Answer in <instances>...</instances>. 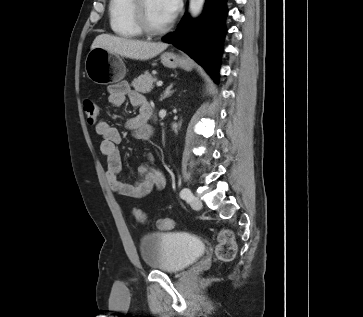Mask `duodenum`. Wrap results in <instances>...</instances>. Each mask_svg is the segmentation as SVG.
I'll use <instances>...</instances> for the list:
<instances>
[{
    "instance_id": "duodenum-1",
    "label": "duodenum",
    "mask_w": 363,
    "mask_h": 317,
    "mask_svg": "<svg viewBox=\"0 0 363 317\" xmlns=\"http://www.w3.org/2000/svg\"><path fill=\"white\" fill-rule=\"evenodd\" d=\"M153 136H154V131L152 129H149V138H152Z\"/></svg>"
}]
</instances>
